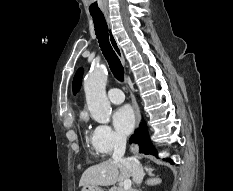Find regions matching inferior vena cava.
<instances>
[{
	"label": "inferior vena cava",
	"mask_w": 233,
	"mask_h": 191,
	"mask_svg": "<svg viewBox=\"0 0 233 191\" xmlns=\"http://www.w3.org/2000/svg\"><path fill=\"white\" fill-rule=\"evenodd\" d=\"M126 149V137L119 136L114 144L113 160L119 161L124 164L130 171L133 177V181L136 184H140L144 177L143 167L136 157H129L123 159Z\"/></svg>",
	"instance_id": "obj_1"
}]
</instances>
